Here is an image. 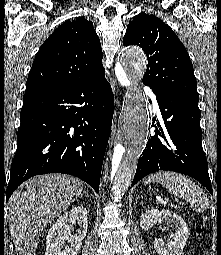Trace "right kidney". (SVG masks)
<instances>
[{
    "mask_svg": "<svg viewBox=\"0 0 221 255\" xmlns=\"http://www.w3.org/2000/svg\"><path fill=\"white\" fill-rule=\"evenodd\" d=\"M78 224V234L72 235L73 224ZM88 229L87 209L76 206L61 215L51 226L46 237L45 255H77ZM65 242L68 244L66 245Z\"/></svg>",
    "mask_w": 221,
    "mask_h": 255,
    "instance_id": "ca27d5eb",
    "label": "right kidney"
}]
</instances>
